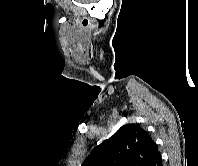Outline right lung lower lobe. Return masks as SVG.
Segmentation results:
<instances>
[{
    "label": "right lung lower lobe",
    "instance_id": "right-lung-lower-lobe-1",
    "mask_svg": "<svg viewBox=\"0 0 198 166\" xmlns=\"http://www.w3.org/2000/svg\"><path fill=\"white\" fill-rule=\"evenodd\" d=\"M149 166H162V158L159 154L150 164Z\"/></svg>",
    "mask_w": 198,
    "mask_h": 166
}]
</instances>
